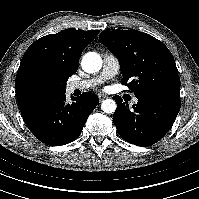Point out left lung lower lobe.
<instances>
[{
  "label": "left lung lower lobe",
  "instance_id": "obj_1",
  "mask_svg": "<svg viewBox=\"0 0 199 199\" xmlns=\"http://www.w3.org/2000/svg\"><path fill=\"white\" fill-rule=\"evenodd\" d=\"M138 103L129 109L119 96H114L117 109L113 122L119 135L129 143L150 146L158 142L171 128L180 110L181 101L136 96Z\"/></svg>",
  "mask_w": 199,
  "mask_h": 199
}]
</instances>
